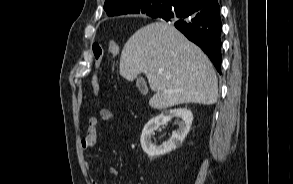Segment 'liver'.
Listing matches in <instances>:
<instances>
[{
	"mask_svg": "<svg viewBox=\"0 0 293 184\" xmlns=\"http://www.w3.org/2000/svg\"><path fill=\"white\" fill-rule=\"evenodd\" d=\"M119 72L128 81L145 73L155 92L149 105L155 109L185 103L211 105L218 98V81L211 61L165 22L150 23L128 39L121 52Z\"/></svg>",
	"mask_w": 293,
	"mask_h": 184,
	"instance_id": "liver-1",
	"label": "liver"
}]
</instances>
